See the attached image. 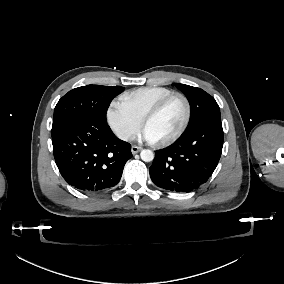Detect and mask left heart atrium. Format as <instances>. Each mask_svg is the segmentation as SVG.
I'll use <instances>...</instances> for the list:
<instances>
[{"mask_svg":"<svg viewBox=\"0 0 284 284\" xmlns=\"http://www.w3.org/2000/svg\"><path fill=\"white\" fill-rule=\"evenodd\" d=\"M137 140L146 141V142H156L152 134L145 128L140 130L136 135Z\"/></svg>","mask_w":284,"mask_h":284,"instance_id":"39dd6f15","label":"left heart atrium"}]
</instances>
